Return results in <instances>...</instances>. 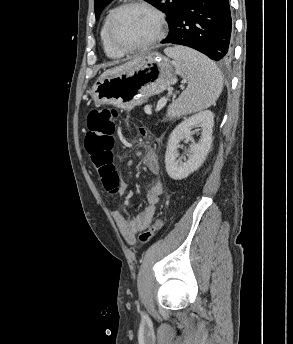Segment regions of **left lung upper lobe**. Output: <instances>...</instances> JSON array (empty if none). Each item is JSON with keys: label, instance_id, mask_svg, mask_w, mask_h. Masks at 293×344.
Listing matches in <instances>:
<instances>
[{"label": "left lung upper lobe", "instance_id": "left-lung-upper-lobe-1", "mask_svg": "<svg viewBox=\"0 0 293 344\" xmlns=\"http://www.w3.org/2000/svg\"><path fill=\"white\" fill-rule=\"evenodd\" d=\"M112 0H95L94 9L96 19L99 18L102 10L111 2ZM156 8L162 10L167 15V22L171 28L174 18L177 14L178 8L181 4V0H145Z\"/></svg>", "mask_w": 293, "mask_h": 344}]
</instances>
